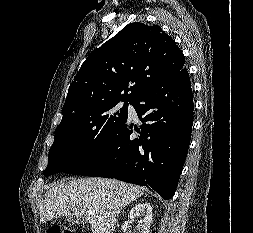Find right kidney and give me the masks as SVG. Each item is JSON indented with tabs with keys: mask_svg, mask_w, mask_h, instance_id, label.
<instances>
[{
	"mask_svg": "<svg viewBox=\"0 0 253 233\" xmlns=\"http://www.w3.org/2000/svg\"><path fill=\"white\" fill-rule=\"evenodd\" d=\"M140 216L142 219L136 226V233H149L150 225L152 223V207L148 202L136 204L129 212L128 219L134 220L135 217Z\"/></svg>",
	"mask_w": 253,
	"mask_h": 233,
	"instance_id": "right-kidney-1",
	"label": "right kidney"
}]
</instances>
